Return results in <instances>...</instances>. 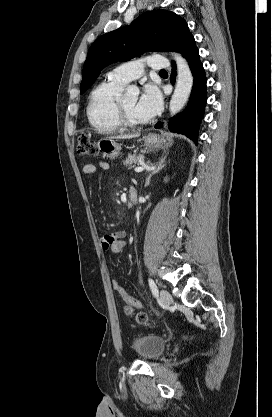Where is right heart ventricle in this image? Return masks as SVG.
<instances>
[{
    "instance_id": "e07e8e85",
    "label": "right heart ventricle",
    "mask_w": 272,
    "mask_h": 417,
    "mask_svg": "<svg viewBox=\"0 0 272 417\" xmlns=\"http://www.w3.org/2000/svg\"><path fill=\"white\" fill-rule=\"evenodd\" d=\"M125 85L107 77L90 93L87 118L100 134H114L121 127L116 118V106Z\"/></svg>"
}]
</instances>
